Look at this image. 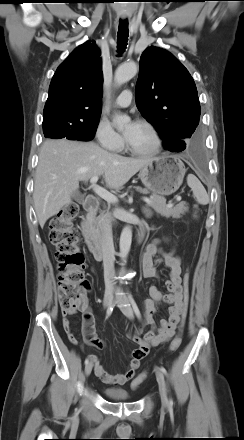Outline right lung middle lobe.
Wrapping results in <instances>:
<instances>
[{"mask_svg": "<svg viewBox=\"0 0 244 440\" xmlns=\"http://www.w3.org/2000/svg\"><path fill=\"white\" fill-rule=\"evenodd\" d=\"M99 119L77 124L71 121L48 120L43 121V132L46 138L89 141L94 138Z\"/></svg>", "mask_w": 244, "mask_h": 440, "instance_id": "1", "label": "right lung middle lobe"}]
</instances>
